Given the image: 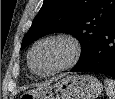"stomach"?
Wrapping results in <instances>:
<instances>
[{"instance_id":"obj_1","label":"stomach","mask_w":115,"mask_h":99,"mask_svg":"<svg viewBox=\"0 0 115 99\" xmlns=\"http://www.w3.org/2000/svg\"><path fill=\"white\" fill-rule=\"evenodd\" d=\"M102 91L101 82L91 75H72L53 85L26 91L25 99H96Z\"/></svg>"}]
</instances>
